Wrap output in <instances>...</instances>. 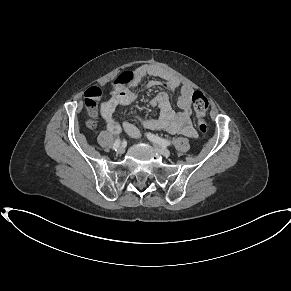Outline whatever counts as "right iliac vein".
Wrapping results in <instances>:
<instances>
[{
  "label": "right iliac vein",
  "instance_id": "right-iliac-vein-1",
  "mask_svg": "<svg viewBox=\"0 0 291 291\" xmlns=\"http://www.w3.org/2000/svg\"><path fill=\"white\" fill-rule=\"evenodd\" d=\"M124 150H125L124 146H119L117 149V153L122 154V153H124Z\"/></svg>",
  "mask_w": 291,
  "mask_h": 291
}]
</instances>
